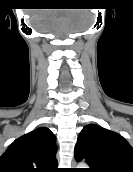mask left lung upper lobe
I'll list each match as a JSON object with an SVG mask.
<instances>
[{
    "instance_id": "5c2ea615",
    "label": "left lung upper lobe",
    "mask_w": 133,
    "mask_h": 172,
    "mask_svg": "<svg viewBox=\"0 0 133 172\" xmlns=\"http://www.w3.org/2000/svg\"><path fill=\"white\" fill-rule=\"evenodd\" d=\"M74 153L90 166L85 172H133V148L127 140L96 124L82 129Z\"/></svg>"
}]
</instances>
